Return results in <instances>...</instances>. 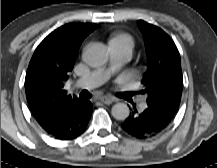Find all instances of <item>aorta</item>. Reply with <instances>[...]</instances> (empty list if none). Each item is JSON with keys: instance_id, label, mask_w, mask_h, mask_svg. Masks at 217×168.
Returning a JSON list of instances; mask_svg holds the SVG:
<instances>
[{"instance_id": "762f6f07", "label": "aorta", "mask_w": 217, "mask_h": 168, "mask_svg": "<svg viewBox=\"0 0 217 168\" xmlns=\"http://www.w3.org/2000/svg\"><path fill=\"white\" fill-rule=\"evenodd\" d=\"M83 60L91 67H100L104 65L108 59V54L101 44H92L83 52ZM129 107L124 103L113 105L111 113L117 120H125L129 116Z\"/></svg>"}]
</instances>
